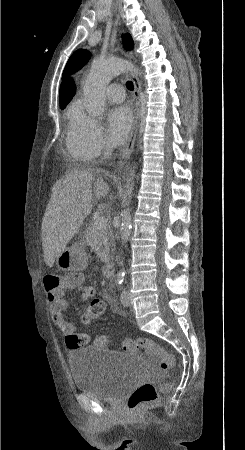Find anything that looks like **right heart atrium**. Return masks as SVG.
I'll return each instance as SVG.
<instances>
[{"mask_svg": "<svg viewBox=\"0 0 245 450\" xmlns=\"http://www.w3.org/2000/svg\"><path fill=\"white\" fill-rule=\"evenodd\" d=\"M67 148L71 154L85 160H92L109 150L100 124L79 107L70 120Z\"/></svg>", "mask_w": 245, "mask_h": 450, "instance_id": "obj_1", "label": "right heart atrium"}]
</instances>
